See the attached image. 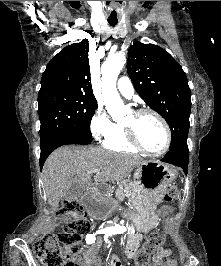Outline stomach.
Returning a JSON list of instances; mask_svg holds the SVG:
<instances>
[{
	"mask_svg": "<svg viewBox=\"0 0 221 266\" xmlns=\"http://www.w3.org/2000/svg\"><path fill=\"white\" fill-rule=\"evenodd\" d=\"M177 174L174 167L159 160H146L137 166L129 197L137 223L141 227L157 220L155 205L163 199Z\"/></svg>",
	"mask_w": 221,
	"mask_h": 266,
	"instance_id": "1",
	"label": "stomach"
}]
</instances>
